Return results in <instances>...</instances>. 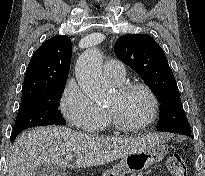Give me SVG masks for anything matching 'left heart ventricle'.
I'll return each instance as SVG.
<instances>
[{"mask_svg":"<svg viewBox=\"0 0 205 176\" xmlns=\"http://www.w3.org/2000/svg\"><path fill=\"white\" fill-rule=\"evenodd\" d=\"M107 108L114 109L123 121L137 124L146 120L151 113L149 97L140 90H135L124 96L115 93Z\"/></svg>","mask_w":205,"mask_h":176,"instance_id":"b2bd125f","label":"left heart ventricle"}]
</instances>
